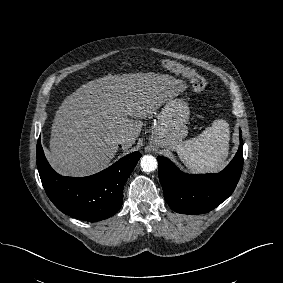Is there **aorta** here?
<instances>
[{"label":"aorta","mask_w":283,"mask_h":283,"mask_svg":"<svg viewBox=\"0 0 283 283\" xmlns=\"http://www.w3.org/2000/svg\"><path fill=\"white\" fill-rule=\"evenodd\" d=\"M141 168L144 172H152L156 170L158 163L154 156L144 155L140 162Z\"/></svg>","instance_id":"762f6f07"}]
</instances>
